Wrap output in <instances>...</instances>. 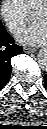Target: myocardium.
<instances>
[{"label":"myocardium","mask_w":47,"mask_h":129,"mask_svg":"<svg viewBox=\"0 0 47 129\" xmlns=\"http://www.w3.org/2000/svg\"><path fill=\"white\" fill-rule=\"evenodd\" d=\"M43 10L47 15V0H44L39 6H37L34 12Z\"/></svg>","instance_id":"obj_1"}]
</instances>
